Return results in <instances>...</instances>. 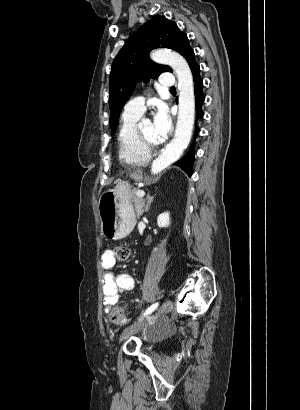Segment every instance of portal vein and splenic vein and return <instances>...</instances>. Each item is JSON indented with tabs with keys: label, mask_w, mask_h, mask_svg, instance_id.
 <instances>
[{
	"label": "portal vein and splenic vein",
	"mask_w": 300,
	"mask_h": 410,
	"mask_svg": "<svg viewBox=\"0 0 300 410\" xmlns=\"http://www.w3.org/2000/svg\"><path fill=\"white\" fill-rule=\"evenodd\" d=\"M136 196L138 197H144L145 196V192L143 190H137L135 192Z\"/></svg>",
	"instance_id": "portal-vein-and-splenic-vein-1"
}]
</instances>
